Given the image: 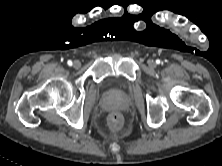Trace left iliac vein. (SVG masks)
Segmentation results:
<instances>
[{"instance_id": "left-iliac-vein-1", "label": "left iliac vein", "mask_w": 222, "mask_h": 166, "mask_svg": "<svg viewBox=\"0 0 222 166\" xmlns=\"http://www.w3.org/2000/svg\"><path fill=\"white\" fill-rule=\"evenodd\" d=\"M148 64H149V66H150L151 68H153V67L155 66L154 61H149Z\"/></svg>"}]
</instances>
